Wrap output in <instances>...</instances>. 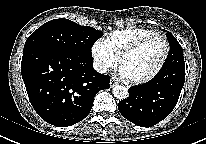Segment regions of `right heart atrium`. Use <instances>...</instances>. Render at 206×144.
<instances>
[{
	"mask_svg": "<svg viewBox=\"0 0 206 144\" xmlns=\"http://www.w3.org/2000/svg\"><path fill=\"white\" fill-rule=\"evenodd\" d=\"M91 55L96 69L101 73L114 68L118 62V57L103 39H98L92 44Z\"/></svg>",
	"mask_w": 206,
	"mask_h": 144,
	"instance_id": "d8ad5b80",
	"label": "right heart atrium"
}]
</instances>
